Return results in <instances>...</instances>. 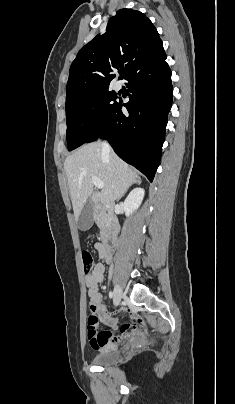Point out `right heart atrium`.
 I'll return each mask as SVG.
<instances>
[{"instance_id":"right-heart-atrium-1","label":"right heart atrium","mask_w":235,"mask_h":404,"mask_svg":"<svg viewBox=\"0 0 235 404\" xmlns=\"http://www.w3.org/2000/svg\"><path fill=\"white\" fill-rule=\"evenodd\" d=\"M99 105L97 102H92L88 108V114L90 117H95L98 114Z\"/></svg>"}]
</instances>
